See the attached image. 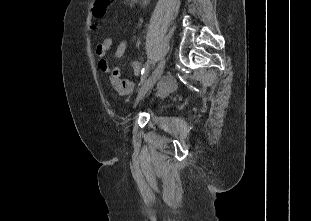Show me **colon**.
<instances>
[{"label":"colon","mask_w":311,"mask_h":221,"mask_svg":"<svg viewBox=\"0 0 311 221\" xmlns=\"http://www.w3.org/2000/svg\"><path fill=\"white\" fill-rule=\"evenodd\" d=\"M115 0H96L92 1L93 17H108L110 7L108 4H114Z\"/></svg>","instance_id":"obj_1"}]
</instances>
